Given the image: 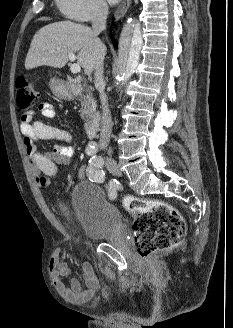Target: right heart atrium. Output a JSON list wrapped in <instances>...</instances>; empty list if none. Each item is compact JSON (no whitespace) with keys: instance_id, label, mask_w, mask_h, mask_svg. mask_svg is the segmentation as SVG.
I'll return each instance as SVG.
<instances>
[{"instance_id":"right-heart-atrium-1","label":"right heart atrium","mask_w":233,"mask_h":328,"mask_svg":"<svg viewBox=\"0 0 233 328\" xmlns=\"http://www.w3.org/2000/svg\"><path fill=\"white\" fill-rule=\"evenodd\" d=\"M56 3L63 15L78 22L100 19L107 12L104 0H56Z\"/></svg>"}]
</instances>
